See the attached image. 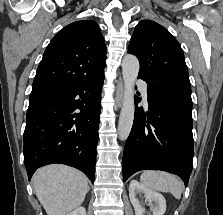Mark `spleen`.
Instances as JSON below:
<instances>
[{
    "label": "spleen",
    "instance_id": "obj_1",
    "mask_svg": "<svg viewBox=\"0 0 223 215\" xmlns=\"http://www.w3.org/2000/svg\"><path fill=\"white\" fill-rule=\"evenodd\" d=\"M140 181L144 185H147V187H151V189L170 191L176 199H180L184 189L182 181L177 179L176 175L167 173V171H152V169H146V171L141 173Z\"/></svg>",
    "mask_w": 223,
    "mask_h": 215
}]
</instances>
